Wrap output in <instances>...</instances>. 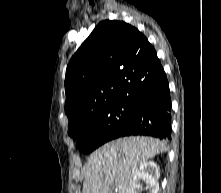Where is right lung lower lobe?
Here are the masks:
<instances>
[{"instance_id":"1","label":"right lung lower lobe","mask_w":221,"mask_h":193,"mask_svg":"<svg viewBox=\"0 0 221 193\" xmlns=\"http://www.w3.org/2000/svg\"><path fill=\"white\" fill-rule=\"evenodd\" d=\"M137 111L131 120L114 135H150L171 139V98L168 80L161 67L137 98Z\"/></svg>"}]
</instances>
